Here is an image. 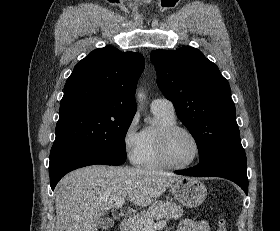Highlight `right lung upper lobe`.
<instances>
[{"mask_svg":"<svg viewBox=\"0 0 280 231\" xmlns=\"http://www.w3.org/2000/svg\"><path fill=\"white\" fill-rule=\"evenodd\" d=\"M139 53L113 46L92 51L74 68L64 87L59 120L95 116L134 117L135 89L144 69Z\"/></svg>","mask_w":280,"mask_h":231,"instance_id":"cb5924a9","label":"right lung upper lobe"}]
</instances>
